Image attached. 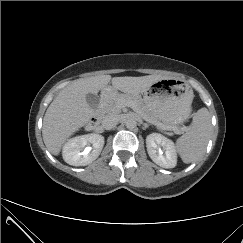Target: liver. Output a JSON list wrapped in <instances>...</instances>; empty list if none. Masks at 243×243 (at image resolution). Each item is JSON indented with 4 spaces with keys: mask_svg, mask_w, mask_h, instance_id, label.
I'll use <instances>...</instances> for the list:
<instances>
[{
    "mask_svg": "<svg viewBox=\"0 0 243 243\" xmlns=\"http://www.w3.org/2000/svg\"><path fill=\"white\" fill-rule=\"evenodd\" d=\"M163 79L166 77L161 75L114 78L99 75L74 81L59 92L45 113L42 136L47 149L58 155L65 141L90 120L94 111L86 101L88 93L97 94L111 81L114 90L138 97Z\"/></svg>",
    "mask_w": 243,
    "mask_h": 243,
    "instance_id": "6515ba94",
    "label": "liver"
}]
</instances>
